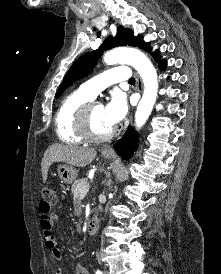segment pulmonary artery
<instances>
[{"instance_id":"1","label":"pulmonary artery","mask_w":221,"mask_h":274,"mask_svg":"<svg viewBox=\"0 0 221 274\" xmlns=\"http://www.w3.org/2000/svg\"><path fill=\"white\" fill-rule=\"evenodd\" d=\"M130 78L131 72L127 67H115L86 81L81 85L80 89L95 98L106 87Z\"/></svg>"}]
</instances>
